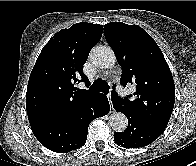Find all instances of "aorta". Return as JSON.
Instances as JSON below:
<instances>
[{"mask_svg":"<svg viewBox=\"0 0 196 166\" xmlns=\"http://www.w3.org/2000/svg\"><path fill=\"white\" fill-rule=\"evenodd\" d=\"M93 64L101 69H109L114 66L116 56L109 46H96L90 54ZM109 123L116 132L124 131L128 126L127 117L122 112H114L109 116Z\"/></svg>","mask_w":196,"mask_h":166,"instance_id":"obj_1","label":"aorta"}]
</instances>
